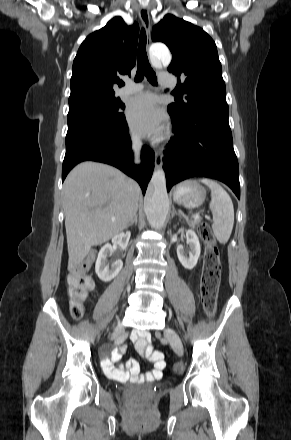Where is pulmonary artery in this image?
<instances>
[{
  "instance_id": "obj_1",
  "label": "pulmonary artery",
  "mask_w": 291,
  "mask_h": 440,
  "mask_svg": "<svg viewBox=\"0 0 291 440\" xmlns=\"http://www.w3.org/2000/svg\"><path fill=\"white\" fill-rule=\"evenodd\" d=\"M159 82L165 86H171L175 83L174 74L171 73H163L159 76ZM143 88L142 83L130 81L126 83V85L120 89L119 95L129 96L132 94H136L140 92Z\"/></svg>"
}]
</instances>
